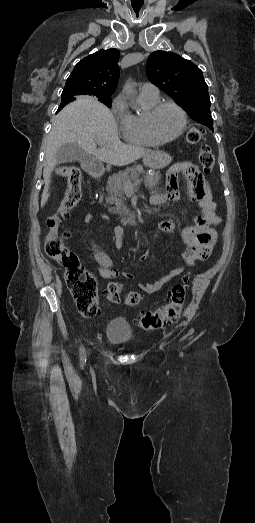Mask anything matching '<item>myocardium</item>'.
Here are the masks:
<instances>
[{
    "label": "myocardium",
    "mask_w": 255,
    "mask_h": 523,
    "mask_svg": "<svg viewBox=\"0 0 255 523\" xmlns=\"http://www.w3.org/2000/svg\"><path fill=\"white\" fill-rule=\"evenodd\" d=\"M164 106H172L174 107L180 114L181 116V119H182V123H181V126H180V129L179 131L172 137H169V138H161L159 137L156 133H155V130H154V127H153V118L154 116L156 115V113ZM144 125H145V129L148 133V135L156 142V143H169V142H172V141H175L177 138H179L183 132L185 131L186 129V125H187V116H186V113L185 111L183 110L182 107H180L178 104H176L175 102H171V101H159L157 102L154 106H152L151 108L148 109L145 117H144Z\"/></svg>",
    "instance_id": "1"
}]
</instances>
